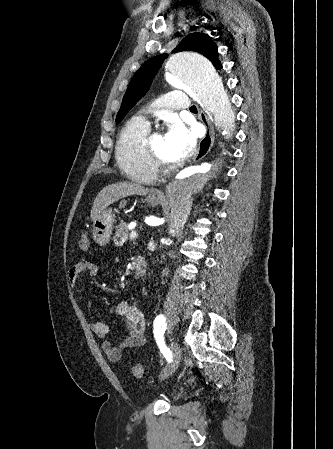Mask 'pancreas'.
<instances>
[{
    "label": "pancreas",
    "instance_id": "obj_1",
    "mask_svg": "<svg viewBox=\"0 0 333 449\" xmlns=\"http://www.w3.org/2000/svg\"><path fill=\"white\" fill-rule=\"evenodd\" d=\"M128 233H129L128 225L122 222L114 237L115 245L122 246L124 242H126L129 238Z\"/></svg>",
    "mask_w": 333,
    "mask_h": 449
}]
</instances>
